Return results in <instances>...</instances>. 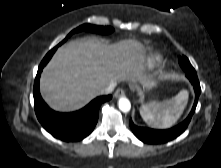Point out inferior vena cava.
I'll use <instances>...</instances> for the list:
<instances>
[{
	"instance_id": "obj_1",
	"label": "inferior vena cava",
	"mask_w": 221,
	"mask_h": 168,
	"mask_svg": "<svg viewBox=\"0 0 221 168\" xmlns=\"http://www.w3.org/2000/svg\"><path fill=\"white\" fill-rule=\"evenodd\" d=\"M115 85L116 84H109L108 86H106L105 88H103L101 91H100V94L101 95H107V94H110L113 92L114 88H115Z\"/></svg>"
}]
</instances>
